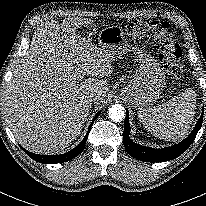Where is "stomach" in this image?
Wrapping results in <instances>:
<instances>
[{
    "instance_id": "0dacf381",
    "label": "stomach",
    "mask_w": 206,
    "mask_h": 206,
    "mask_svg": "<svg viewBox=\"0 0 206 206\" xmlns=\"http://www.w3.org/2000/svg\"><path fill=\"white\" fill-rule=\"evenodd\" d=\"M124 35L120 26L106 27L99 33L98 45L112 59L119 58L130 49L136 54L138 69L123 88L122 95L141 113L160 97L166 85V77L158 60L147 51L129 45Z\"/></svg>"
}]
</instances>
